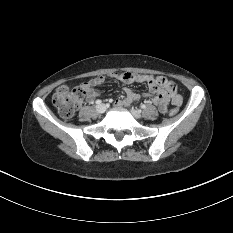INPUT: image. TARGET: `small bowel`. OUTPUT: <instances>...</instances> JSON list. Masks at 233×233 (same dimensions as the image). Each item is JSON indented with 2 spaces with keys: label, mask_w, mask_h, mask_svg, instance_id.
<instances>
[{
  "label": "small bowel",
  "mask_w": 233,
  "mask_h": 233,
  "mask_svg": "<svg viewBox=\"0 0 233 233\" xmlns=\"http://www.w3.org/2000/svg\"><path fill=\"white\" fill-rule=\"evenodd\" d=\"M107 77L113 78L117 81L123 82L125 84L132 83H145L148 85L150 94L153 95L152 102L155 106L158 107L161 113H166L169 108V103L171 102L174 106L181 105V97L177 94L179 86L176 81L168 80L163 76L154 77L146 74H137V73H110L107 76L100 75L92 80H90L86 85L87 89L86 100L88 102H93L94 99L98 96L96 88L101 86L107 79ZM125 96L121 99H117L115 104L116 106H128L133 102L140 99V95L133 92L129 88L124 89ZM149 95V94H144Z\"/></svg>",
  "instance_id": "1"
}]
</instances>
